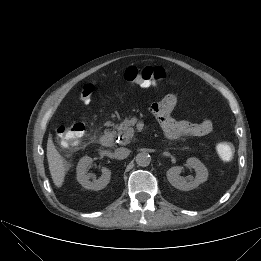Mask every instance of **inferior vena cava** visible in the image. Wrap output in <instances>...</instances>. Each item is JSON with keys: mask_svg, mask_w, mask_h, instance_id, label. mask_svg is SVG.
I'll return each mask as SVG.
<instances>
[{"mask_svg": "<svg viewBox=\"0 0 261 261\" xmlns=\"http://www.w3.org/2000/svg\"><path fill=\"white\" fill-rule=\"evenodd\" d=\"M129 154H130V150L129 149L124 148V147H120V148H117L115 150L114 157L116 159L121 160V159L127 158Z\"/></svg>", "mask_w": 261, "mask_h": 261, "instance_id": "inferior-vena-cava-1", "label": "inferior vena cava"}]
</instances>
